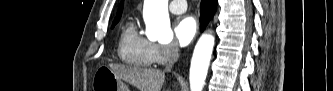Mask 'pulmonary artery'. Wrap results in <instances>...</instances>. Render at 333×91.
<instances>
[{
    "instance_id": "pulmonary-artery-1",
    "label": "pulmonary artery",
    "mask_w": 333,
    "mask_h": 91,
    "mask_svg": "<svg viewBox=\"0 0 333 91\" xmlns=\"http://www.w3.org/2000/svg\"><path fill=\"white\" fill-rule=\"evenodd\" d=\"M169 9L174 14H181L186 12L187 4L185 0H173L170 2Z\"/></svg>"
}]
</instances>
